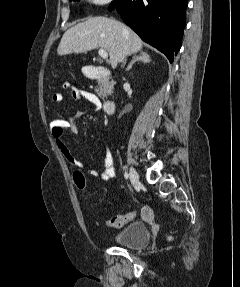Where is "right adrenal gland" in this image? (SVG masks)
<instances>
[{
  "label": "right adrenal gland",
  "mask_w": 240,
  "mask_h": 287,
  "mask_svg": "<svg viewBox=\"0 0 240 287\" xmlns=\"http://www.w3.org/2000/svg\"><path fill=\"white\" fill-rule=\"evenodd\" d=\"M138 61H141L143 63H148L151 61V59H150V56L146 52L141 51L139 55L133 57V60L130 62V64L126 68V71H129L132 68L133 64Z\"/></svg>",
  "instance_id": "obj_1"
}]
</instances>
